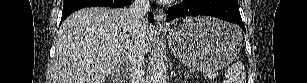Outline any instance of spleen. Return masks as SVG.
Instances as JSON below:
<instances>
[{
    "instance_id": "3e777b00",
    "label": "spleen",
    "mask_w": 307,
    "mask_h": 83,
    "mask_svg": "<svg viewBox=\"0 0 307 83\" xmlns=\"http://www.w3.org/2000/svg\"><path fill=\"white\" fill-rule=\"evenodd\" d=\"M226 80L223 83H246L245 67L242 62H235L225 70Z\"/></svg>"
}]
</instances>
